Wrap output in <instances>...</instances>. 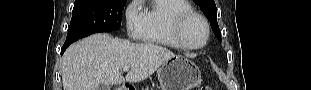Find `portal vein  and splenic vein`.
Listing matches in <instances>:
<instances>
[{"instance_id": "obj_1", "label": "portal vein and splenic vein", "mask_w": 311, "mask_h": 90, "mask_svg": "<svg viewBox=\"0 0 311 90\" xmlns=\"http://www.w3.org/2000/svg\"><path fill=\"white\" fill-rule=\"evenodd\" d=\"M128 70H129V66L123 67V71H124V72H127Z\"/></svg>"}]
</instances>
